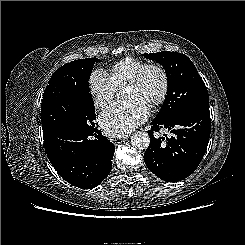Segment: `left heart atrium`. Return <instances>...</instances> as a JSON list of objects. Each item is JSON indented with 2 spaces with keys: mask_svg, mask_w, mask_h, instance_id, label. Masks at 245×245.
Instances as JSON below:
<instances>
[{
  "mask_svg": "<svg viewBox=\"0 0 245 245\" xmlns=\"http://www.w3.org/2000/svg\"><path fill=\"white\" fill-rule=\"evenodd\" d=\"M148 115V104L140 98L132 97L109 106L101 113L99 122L106 133L118 136L141 125Z\"/></svg>",
  "mask_w": 245,
  "mask_h": 245,
  "instance_id": "1",
  "label": "left heart atrium"
}]
</instances>
